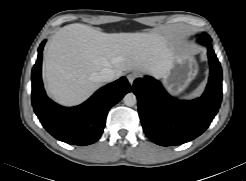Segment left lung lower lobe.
Listing matches in <instances>:
<instances>
[{"instance_id":"left-lung-lower-lobe-1","label":"left lung lower lobe","mask_w":246,"mask_h":181,"mask_svg":"<svg viewBox=\"0 0 246 181\" xmlns=\"http://www.w3.org/2000/svg\"><path fill=\"white\" fill-rule=\"evenodd\" d=\"M199 42L208 46L210 77L204 94L191 101L177 100L151 78H138L133 91L138 98V111L146 135L161 146L186 143L201 135L215 117L222 100V70L209 46L210 37Z\"/></svg>"}]
</instances>
